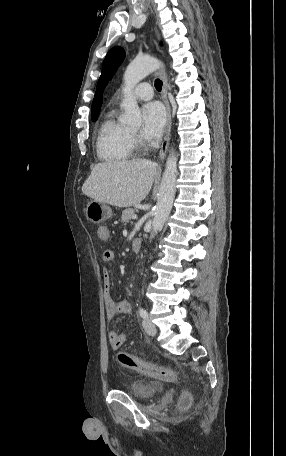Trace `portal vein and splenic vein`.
<instances>
[{"mask_svg": "<svg viewBox=\"0 0 286 456\" xmlns=\"http://www.w3.org/2000/svg\"><path fill=\"white\" fill-rule=\"evenodd\" d=\"M132 219H133V220H136V219H137V216H136V215H133V216H132Z\"/></svg>", "mask_w": 286, "mask_h": 456, "instance_id": "18ae733b", "label": "portal vein and splenic vein"}]
</instances>
